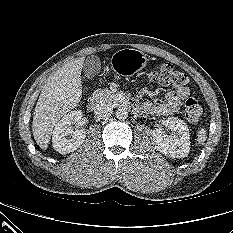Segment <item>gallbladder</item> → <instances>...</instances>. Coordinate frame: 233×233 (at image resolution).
<instances>
[{
  "label": "gallbladder",
  "mask_w": 233,
  "mask_h": 233,
  "mask_svg": "<svg viewBox=\"0 0 233 233\" xmlns=\"http://www.w3.org/2000/svg\"><path fill=\"white\" fill-rule=\"evenodd\" d=\"M101 69V62L97 56H88L83 65L84 77L87 79L93 78L99 73Z\"/></svg>",
  "instance_id": "bac80fb5"
}]
</instances>
